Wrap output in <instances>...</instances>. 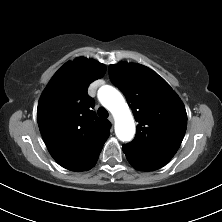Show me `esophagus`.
Returning a JSON list of instances; mask_svg holds the SVG:
<instances>
[{"instance_id":"1","label":"esophagus","mask_w":222,"mask_h":222,"mask_svg":"<svg viewBox=\"0 0 222 222\" xmlns=\"http://www.w3.org/2000/svg\"><path fill=\"white\" fill-rule=\"evenodd\" d=\"M108 119H109V121H110L111 123L114 122V118H113L112 116H110Z\"/></svg>"}]
</instances>
